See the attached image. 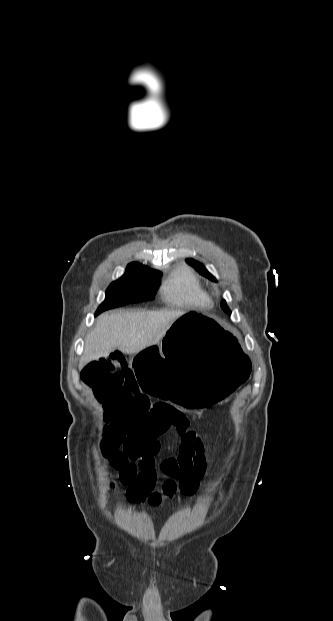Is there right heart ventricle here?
<instances>
[{"instance_id":"obj_1","label":"right heart ventricle","mask_w":333,"mask_h":621,"mask_svg":"<svg viewBox=\"0 0 333 621\" xmlns=\"http://www.w3.org/2000/svg\"><path fill=\"white\" fill-rule=\"evenodd\" d=\"M163 298L187 307H208L212 298L201 280L189 269H175L167 278L162 288Z\"/></svg>"}]
</instances>
